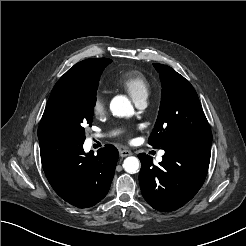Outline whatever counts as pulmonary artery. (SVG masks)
I'll use <instances>...</instances> for the list:
<instances>
[{
  "label": "pulmonary artery",
  "mask_w": 246,
  "mask_h": 246,
  "mask_svg": "<svg viewBox=\"0 0 246 246\" xmlns=\"http://www.w3.org/2000/svg\"><path fill=\"white\" fill-rule=\"evenodd\" d=\"M135 104L138 108H144L146 106V98H142V99H139V100H136L135 101ZM98 137H100V135H97ZM162 156H163V152H161L157 159L158 161H161L162 160Z\"/></svg>",
  "instance_id": "1"
}]
</instances>
